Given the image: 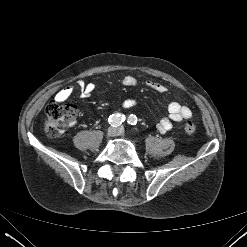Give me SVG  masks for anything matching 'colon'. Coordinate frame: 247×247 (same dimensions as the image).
I'll list each match as a JSON object with an SVG mask.
<instances>
[{
    "mask_svg": "<svg viewBox=\"0 0 247 247\" xmlns=\"http://www.w3.org/2000/svg\"><path fill=\"white\" fill-rule=\"evenodd\" d=\"M45 112V132L53 138L60 136L65 128L70 125L76 114V108L72 104L50 102L46 106ZM195 130L196 126L192 121H188L184 126V131L188 136L193 135Z\"/></svg>",
    "mask_w": 247,
    "mask_h": 247,
    "instance_id": "1",
    "label": "colon"
}]
</instances>
